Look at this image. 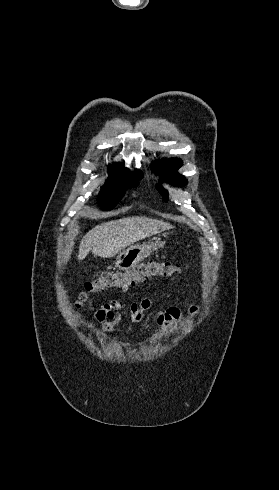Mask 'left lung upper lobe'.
I'll return each instance as SVG.
<instances>
[{
    "instance_id": "5c2ea615",
    "label": "left lung upper lobe",
    "mask_w": 279,
    "mask_h": 490,
    "mask_svg": "<svg viewBox=\"0 0 279 490\" xmlns=\"http://www.w3.org/2000/svg\"><path fill=\"white\" fill-rule=\"evenodd\" d=\"M153 170L160 175V181L171 183L174 186L182 187L187 183L184 176L177 173V170L182 166L181 159H169L156 161L152 164ZM165 201L168 200V192L163 189L161 184L156 186Z\"/></svg>"
}]
</instances>
